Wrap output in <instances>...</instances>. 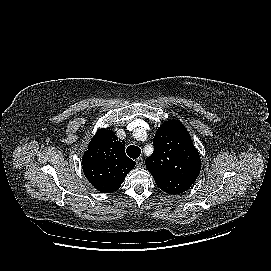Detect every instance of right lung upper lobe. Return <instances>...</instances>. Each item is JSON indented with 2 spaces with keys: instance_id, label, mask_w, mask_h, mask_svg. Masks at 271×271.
<instances>
[{
  "instance_id": "obj_1",
  "label": "right lung upper lobe",
  "mask_w": 271,
  "mask_h": 271,
  "mask_svg": "<svg viewBox=\"0 0 271 271\" xmlns=\"http://www.w3.org/2000/svg\"><path fill=\"white\" fill-rule=\"evenodd\" d=\"M135 161L125 154V141L112 130L101 129L92 138L82 159L83 172L88 181L100 192L120 188Z\"/></svg>"
}]
</instances>
